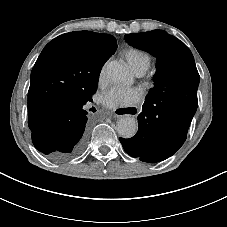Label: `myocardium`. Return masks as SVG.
Listing matches in <instances>:
<instances>
[{
  "mask_svg": "<svg viewBox=\"0 0 227 227\" xmlns=\"http://www.w3.org/2000/svg\"><path fill=\"white\" fill-rule=\"evenodd\" d=\"M155 74V70L149 72V77H152Z\"/></svg>",
  "mask_w": 227,
  "mask_h": 227,
  "instance_id": "obj_1",
  "label": "myocardium"
}]
</instances>
